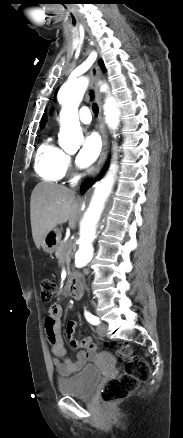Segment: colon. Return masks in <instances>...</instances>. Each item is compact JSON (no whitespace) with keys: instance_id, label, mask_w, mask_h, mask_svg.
<instances>
[{"instance_id":"1","label":"colon","mask_w":183,"mask_h":438,"mask_svg":"<svg viewBox=\"0 0 183 438\" xmlns=\"http://www.w3.org/2000/svg\"><path fill=\"white\" fill-rule=\"evenodd\" d=\"M56 290L53 280L46 278L41 281V298L49 302ZM105 347L113 349L120 360L126 361L124 372L115 378L108 379L101 390V399L105 403H112L123 399L133 393L138 385L145 382L150 375L148 362L138 356L132 355L129 344L117 341H107Z\"/></svg>"}]
</instances>
